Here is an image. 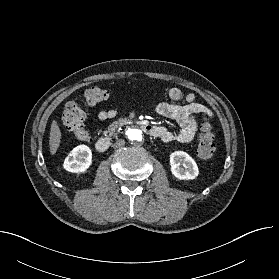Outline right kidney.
<instances>
[{
  "label": "right kidney",
  "mask_w": 279,
  "mask_h": 279,
  "mask_svg": "<svg viewBox=\"0 0 279 279\" xmlns=\"http://www.w3.org/2000/svg\"><path fill=\"white\" fill-rule=\"evenodd\" d=\"M91 163V149L86 145H79L65 158L63 167L72 173H83L90 167Z\"/></svg>",
  "instance_id": "1"
}]
</instances>
